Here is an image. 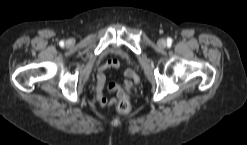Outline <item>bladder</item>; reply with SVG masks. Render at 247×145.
<instances>
[{
	"label": "bladder",
	"instance_id": "bladder-1",
	"mask_svg": "<svg viewBox=\"0 0 247 145\" xmlns=\"http://www.w3.org/2000/svg\"><path fill=\"white\" fill-rule=\"evenodd\" d=\"M121 51L119 49H114L111 51V53H120Z\"/></svg>",
	"mask_w": 247,
	"mask_h": 145
}]
</instances>
